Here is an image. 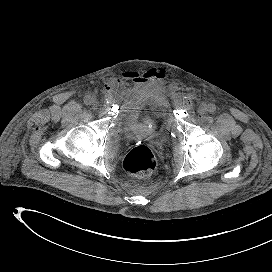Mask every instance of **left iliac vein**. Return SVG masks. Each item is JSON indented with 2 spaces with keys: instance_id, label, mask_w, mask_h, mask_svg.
Here are the masks:
<instances>
[{
  "instance_id": "left-iliac-vein-1",
  "label": "left iliac vein",
  "mask_w": 272,
  "mask_h": 272,
  "mask_svg": "<svg viewBox=\"0 0 272 272\" xmlns=\"http://www.w3.org/2000/svg\"><path fill=\"white\" fill-rule=\"evenodd\" d=\"M207 111H208V107L205 104H202L198 107V114L201 116L205 115Z\"/></svg>"
}]
</instances>
